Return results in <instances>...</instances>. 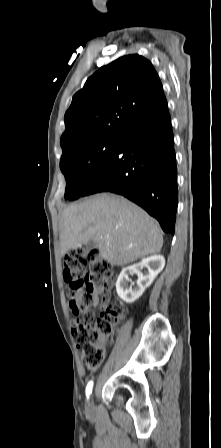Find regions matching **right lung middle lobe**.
I'll return each mask as SVG.
<instances>
[{
  "instance_id": "dd1d6c3e",
  "label": "right lung middle lobe",
  "mask_w": 221,
  "mask_h": 448,
  "mask_svg": "<svg viewBox=\"0 0 221 448\" xmlns=\"http://www.w3.org/2000/svg\"><path fill=\"white\" fill-rule=\"evenodd\" d=\"M118 136L82 144L61 157L60 168L66 179L65 199L81 197L112 153Z\"/></svg>"
}]
</instances>
